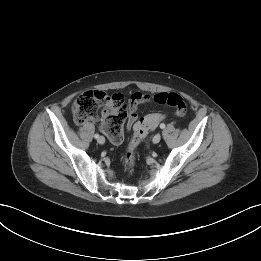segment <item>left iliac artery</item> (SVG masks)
I'll use <instances>...</instances> for the list:
<instances>
[{"mask_svg":"<svg viewBox=\"0 0 261 261\" xmlns=\"http://www.w3.org/2000/svg\"><path fill=\"white\" fill-rule=\"evenodd\" d=\"M160 128H161V129H164V128H165V124H163V123L160 124Z\"/></svg>","mask_w":261,"mask_h":261,"instance_id":"1","label":"left iliac artery"}]
</instances>
